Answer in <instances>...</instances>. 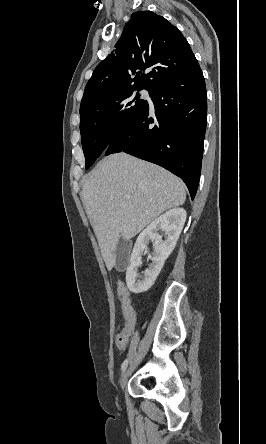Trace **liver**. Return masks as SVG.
<instances>
[{
    "label": "liver",
    "instance_id": "6515ba94",
    "mask_svg": "<svg viewBox=\"0 0 266 444\" xmlns=\"http://www.w3.org/2000/svg\"><path fill=\"white\" fill-rule=\"evenodd\" d=\"M185 200L181 180L155 164L123 152L101 160L83 185L82 201L108 271L120 237L129 240Z\"/></svg>",
    "mask_w": 266,
    "mask_h": 444
}]
</instances>
